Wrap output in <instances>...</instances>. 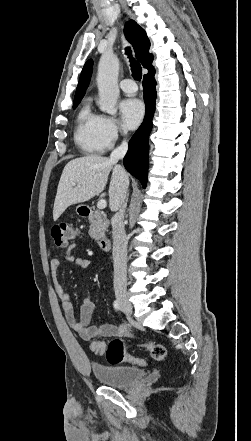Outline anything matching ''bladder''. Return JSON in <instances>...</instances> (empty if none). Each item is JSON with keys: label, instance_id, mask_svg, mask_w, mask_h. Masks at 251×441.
I'll use <instances>...</instances> for the list:
<instances>
[{"label": "bladder", "instance_id": "1", "mask_svg": "<svg viewBox=\"0 0 251 441\" xmlns=\"http://www.w3.org/2000/svg\"><path fill=\"white\" fill-rule=\"evenodd\" d=\"M91 371L97 381L113 388L132 385L145 375V371L137 367L97 363L91 365Z\"/></svg>", "mask_w": 251, "mask_h": 441}]
</instances>
